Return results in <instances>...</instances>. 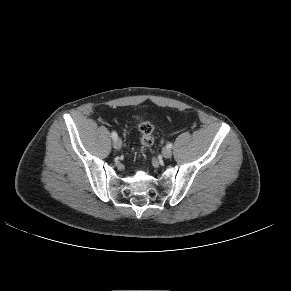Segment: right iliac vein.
I'll list each match as a JSON object with an SVG mask.
<instances>
[{"instance_id":"right-iliac-vein-1","label":"right iliac vein","mask_w":291,"mask_h":291,"mask_svg":"<svg viewBox=\"0 0 291 291\" xmlns=\"http://www.w3.org/2000/svg\"><path fill=\"white\" fill-rule=\"evenodd\" d=\"M113 147L115 149H120L122 147V141L121 139L117 138L113 141Z\"/></svg>"}]
</instances>
